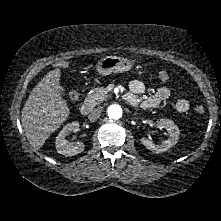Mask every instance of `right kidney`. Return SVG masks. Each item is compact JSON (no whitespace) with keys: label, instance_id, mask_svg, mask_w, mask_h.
<instances>
[{"label":"right kidney","instance_id":"obj_1","mask_svg":"<svg viewBox=\"0 0 221 221\" xmlns=\"http://www.w3.org/2000/svg\"><path fill=\"white\" fill-rule=\"evenodd\" d=\"M79 130V123L72 122L66 125L56 137V147L60 154L65 156H74L84 150L85 145L82 142L69 143L65 138L70 132H77Z\"/></svg>","mask_w":221,"mask_h":221}]
</instances>
